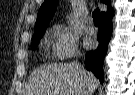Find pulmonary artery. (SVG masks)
<instances>
[{
	"label": "pulmonary artery",
	"mask_w": 135,
	"mask_h": 95,
	"mask_svg": "<svg viewBox=\"0 0 135 95\" xmlns=\"http://www.w3.org/2000/svg\"><path fill=\"white\" fill-rule=\"evenodd\" d=\"M84 29L87 33H93L94 32V27H93L90 19H88L87 23L85 24Z\"/></svg>",
	"instance_id": "obj_1"
}]
</instances>
